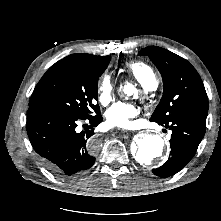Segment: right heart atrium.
<instances>
[{
    "mask_svg": "<svg viewBox=\"0 0 221 221\" xmlns=\"http://www.w3.org/2000/svg\"><path fill=\"white\" fill-rule=\"evenodd\" d=\"M113 89V80L108 73H105L97 85L98 100L101 104H106L111 99Z\"/></svg>",
    "mask_w": 221,
    "mask_h": 221,
    "instance_id": "right-heart-atrium-1",
    "label": "right heart atrium"
}]
</instances>
